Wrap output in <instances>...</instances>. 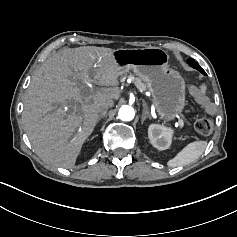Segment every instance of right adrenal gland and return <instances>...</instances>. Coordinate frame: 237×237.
<instances>
[{
  "instance_id": "2a0ac1e0",
  "label": "right adrenal gland",
  "mask_w": 237,
  "mask_h": 237,
  "mask_svg": "<svg viewBox=\"0 0 237 237\" xmlns=\"http://www.w3.org/2000/svg\"><path fill=\"white\" fill-rule=\"evenodd\" d=\"M106 113H107V109H105L104 111H102V112L99 114L97 121H99L101 118L105 117V116H106Z\"/></svg>"
}]
</instances>
